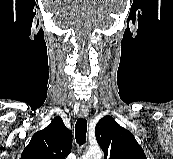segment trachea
<instances>
[{
	"mask_svg": "<svg viewBox=\"0 0 173 159\" xmlns=\"http://www.w3.org/2000/svg\"><path fill=\"white\" fill-rule=\"evenodd\" d=\"M87 121L85 118H79L75 125V138L77 143L81 146L86 141Z\"/></svg>",
	"mask_w": 173,
	"mask_h": 159,
	"instance_id": "1",
	"label": "trachea"
}]
</instances>
